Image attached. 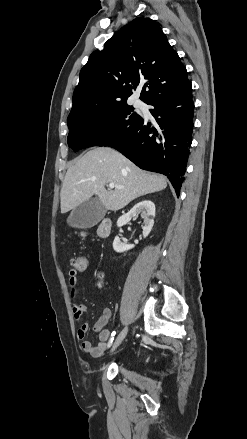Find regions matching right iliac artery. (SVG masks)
I'll use <instances>...</instances> for the list:
<instances>
[{
    "label": "right iliac artery",
    "instance_id": "82829eb1",
    "mask_svg": "<svg viewBox=\"0 0 247 439\" xmlns=\"http://www.w3.org/2000/svg\"><path fill=\"white\" fill-rule=\"evenodd\" d=\"M114 335H115V332L112 333L108 346H110L112 344L113 339H114Z\"/></svg>",
    "mask_w": 247,
    "mask_h": 439
}]
</instances>
